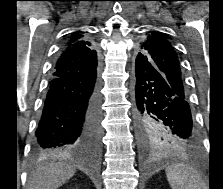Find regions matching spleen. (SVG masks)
<instances>
[{"label":"spleen","mask_w":223,"mask_h":189,"mask_svg":"<svg viewBox=\"0 0 223 189\" xmlns=\"http://www.w3.org/2000/svg\"><path fill=\"white\" fill-rule=\"evenodd\" d=\"M167 180L172 189H202L199 174L190 166L176 164L166 169Z\"/></svg>","instance_id":"spleen-1"}]
</instances>
